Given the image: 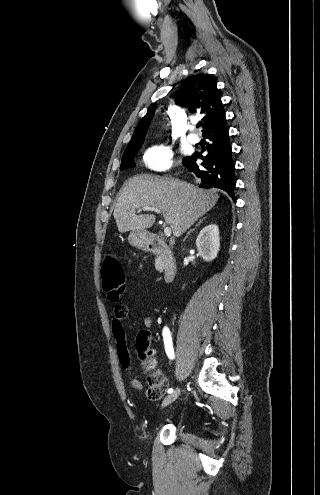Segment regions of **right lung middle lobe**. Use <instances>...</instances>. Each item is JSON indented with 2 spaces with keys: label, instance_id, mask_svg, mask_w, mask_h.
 I'll return each mask as SVG.
<instances>
[{
  "label": "right lung middle lobe",
  "instance_id": "obj_1",
  "mask_svg": "<svg viewBox=\"0 0 320 495\" xmlns=\"http://www.w3.org/2000/svg\"><path fill=\"white\" fill-rule=\"evenodd\" d=\"M140 147H141V145L124 151V154L122 156L120 169H125V168H130V167L135 166L133 157L136 154V152L140 149Z\"/></svg>",
  "mask_w": 320,
  "mask_h": 495
}]
</instances>
